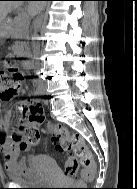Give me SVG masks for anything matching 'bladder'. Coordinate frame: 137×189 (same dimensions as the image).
I'll return each instance as SVG.
<instances>
[{"label":"bladder","mask_w":137,"mask_h":189,"mask_svg":"<svg viewBox=\"0 0 137 189\" xmlns=\"http://www.w3.org/2000/svg\"><path fill=\"white\" fill-rule=\"evenodd\" d=\"M8 178L15 183L23 185H47L60 176L59 167L55 159L44 155L37 158L32 166H27L19 171L10 170Z\"/></svg>","instance_id":"1"}]
</instances>
